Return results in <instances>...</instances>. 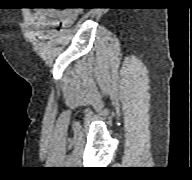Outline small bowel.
Returning a JSON list of instances; mask_svg holds the SVG:
<instances>
[{
	"mask_svg": "<svg viewBox=\"0 0 192 180\" xmlns=\"http://www.w3.org/2000/svg\"><path fill=\"white\" fill-rule=\"evenodd\" d=\"M74 21V15L60 10H37L32 16V23L35 26L63 25L68 26Z\"/></svg>",
	"mask_w": 192,
	"mask_h": 180,
	"instance_id": "c3829d8e",
	"label": "small bowel"
}]
</instances>
